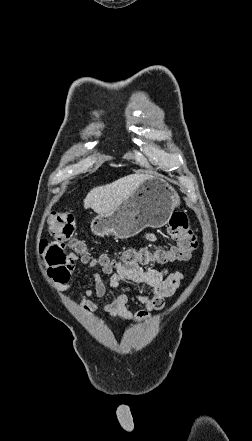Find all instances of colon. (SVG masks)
<instances>
[{
    "label": "colon",
    "mask_w": 252,
    "mask_h": 441,
    "mask_svg": "<svg viewBox=\"0 0 252 441\" xmlns=\"http://www.w3.org/2000/svg\"><path fill=\"white\" fill-rule=\"evenodd\" d=\"M49 229L57 239L41 241L39 250L43 255L50 277L61 282L69 274L70 262V254L66 252L63 241L71 239L70 246L77 254H87V248L82 240L72 239L75 223L71 215L53 213L49 217ZM167 231L173 241V244L168 248L153 251L147 247L129 248L122 253L120 262L147 265L187 260L198 244L195 233L189 227L187 216L180 212L174 213L169 220ZM99 262L105 264L110 261L107 258H102Z\"/></svg>",
    "instance_id": "1"
}]
</instances>
